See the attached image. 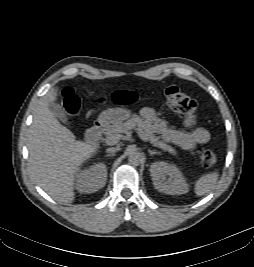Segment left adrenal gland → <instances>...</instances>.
Wrapping results in <instances>:
<instances>
[{
  "instance_id": "a2214340",
  "label": "left adrenal gland",
  "mask_w": 254,
  "mask_h": 267,
  "mask_svg": "<svg viewBox=\"0 0 254 267\" xmlns=\"http://www.w3.org/2000/svg\"><path fill=\"white\" fill-rule=\"evenodd\" d=\"M148 152H149L150 156H152V155H160V152L155 151V150L148 149Z\"/></svg>"
}]
</instances>
